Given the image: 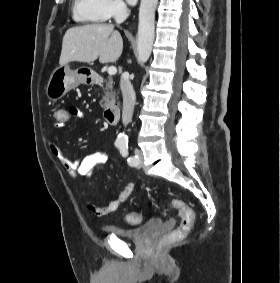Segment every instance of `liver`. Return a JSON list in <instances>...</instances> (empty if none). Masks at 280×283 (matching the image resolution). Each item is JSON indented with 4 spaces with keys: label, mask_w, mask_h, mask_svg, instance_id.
<instances>
[{
    "label": "liver",
    "mask_w": 280,
    "mask_h": 283,
    "mask_svg": "<svg viewBox=\"0 0 280 283\" xmlns=\"http://www.w3.org/2000/svg\"><path fill=\"white\" fill-rule=\"evenodd\" d=\"M123 51L121 34L112 24H88L70 28L63 37L60 65L77 61L100 63L117 61Z\"/></svg>",
    "instance_id": "1"
}]
</instances>
